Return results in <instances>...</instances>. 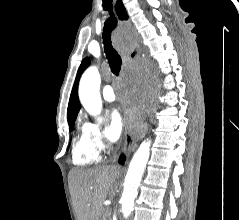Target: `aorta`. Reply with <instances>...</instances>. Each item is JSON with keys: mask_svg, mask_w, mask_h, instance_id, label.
<instances>
[{"mask_svg": "<svg viewBox=\"0 0 239 220\" xmlns=\"http://www.w3.org/2000/svg\"><path fill=\"white\" fill-rule=\"evenodd\" d=\"M119 40H133V33H122L120 34ZM100 82V74L97 68L90 67L82 75L79 84L80 102L89 114L95 116L100 114L102 110ZM150 147L151 140L142 142L129 164L121 197V211L125 219H127L133 211L137 190L150 157Z\"/></svg>", "mask_w": 239, "mask_h": 220, "instance_id": "obj_1", "label": "aorta"}]
</instances>
